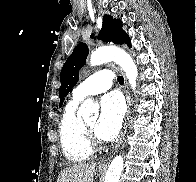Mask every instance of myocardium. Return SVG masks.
Returning <instances> with one entry per match:
<instances>
[{
  "label": "myocardium",
  "instance_id": "myocardium-1",
  "mask_svg": "<svg viewBox=\"0 0 196 182\" xmlns=\"http://www.w3.org/2000/svg\"><path fill=\"white\" fill-rule=\"evenodd\" d=\"M84 129H85V133H86V137L90 143V145H96L98 143V140L96 138V136L94 135V132L92 129H90L86 123H84Z\"/></svg>",
  "mask_w": 196,
  "mask_h": 182
}]
</instances>
